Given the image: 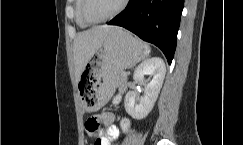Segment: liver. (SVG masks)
Wrapping results in <instances>:
<instances>
[{
	"label": "liver",
	"mask_w": 243,
	"mask_h": 145,
	"mask_svg": "<svg viewBox=\"0 0 243 145\" xmlns=\"http://www.w3.org/2000/svg\"><path fill=\"white\" fill-rule=\"evenodd\" d=\"M118 26L101 25L77 34L73 43L75 77L78 82L86 66L96 53L105 38L116 30Z\"/></svg>",
	"instance_id": "obj_1"
}]
</instances>
